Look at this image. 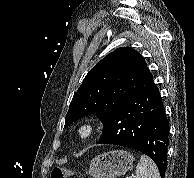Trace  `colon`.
I'll return each mask as SVG.
<instances>
[{"instance_id":"colon-1","label":"colon","mask_w":194,"mask_h":178,"mask_svg":"<svg viewBox=\"0 0 194 178\" xmlns=\"http://www.w3.org/2000/svg\"><path fill=\"white\" fill-rule=\"evenodd\" d=\"M73 172L64 167H54L51 171V178H70Z\"/></svg>"}]
</instances>
